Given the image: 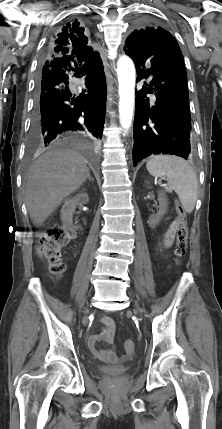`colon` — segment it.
I'll return each instance as SVG.
<instances>
[{"instance_id": "1", "label": "colon", "mask_w": 222, "mask_h": 429, "mask_svg": "<svg viewBox=\"0 0 222 429\" xmlns=\"http://www.w3.org/2000/svg\"><path fill=\"white\" fill-rule=\"evenodd\" d=\"M178 228L176 231L175 255L183 257L187 251V215L185 209L179 202H176ZM72 232L60 225L48 228L38 240L37 251L39 255L48 263L50 272L55 276H61L66 266L61 258L62 248L70 241ZM123 347L127 353H133L135 344L132 340H126Z\"/></svg>"}]
</instances>
